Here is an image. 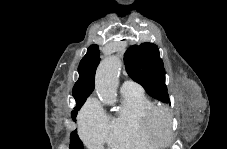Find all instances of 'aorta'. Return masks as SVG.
Wrapping results in <instances>:
<instances>
[{
    "mask_svg": "<svg viewBox=\"0 0 227 149\" xmlns=\"http://www.w3.org/2000/svg\"><path fill=\"white\" fill-rule=\"evenodd\" d=\"M121 61L117 56H111L100 63L95 81V90L99 99L105 104L117 101L118 78L121 71Z\"/></svg>",
    "mask_w": 227,
    "mask_h": 149,
    "instance_id": "obj_1",
    "label": "aorta"
}]
</instances>
